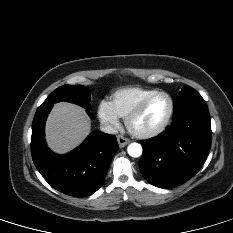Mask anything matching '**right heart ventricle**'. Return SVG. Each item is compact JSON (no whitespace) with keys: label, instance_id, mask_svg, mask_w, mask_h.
Returning <instances> with one entry per match:
<instances>
[{"label":"right heart ventricle","instance_id":"obj_1","mask_svg":"<svg viewBox=\"0 0 233 233\" xmlns=\"http://www.w3.org/2000/svg\"><path fill=\"white\" fill-rule=\"evenodd\" d=\"M156 91L144 87L121 88L112 93L109 103L119 117L126 118L145 97Z\"/></svg>","mask_w":233,"mask_h":233}]
</instances>
